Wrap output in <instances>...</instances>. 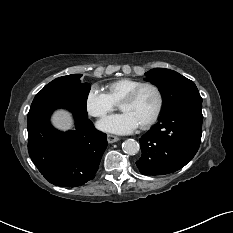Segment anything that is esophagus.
Returning <instances> with one entry per match:
<instances>
[{"label":"esophagus","mask_w":233,"mask_h":233,"mask_svg":"<svg viewBox=\"0 0 233 233\" xmlns=\"http://www.w3.org/2000/svg\"><path fill=\"white\" fill-rule=\"evenodd\" d=\"M119 140H120V137H118V136H115V135H112V134L107 135L108 143H115V142H117Z\"/></svg>","instance_id":"1"}]
</instances>
